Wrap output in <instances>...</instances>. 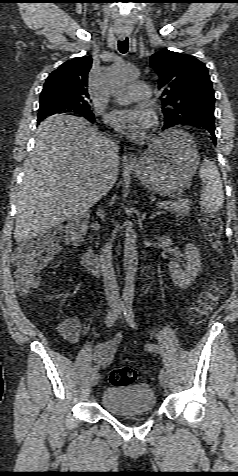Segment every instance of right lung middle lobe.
Returning a JSON list of instances; mask_svg holds the SVG:
<instances>
[{
	"label": "right lung middle lobe",
	"mask_w": 238,
	"mask_h": 476,
	"mask_svg": "<svg viewBox=\"0 0 238 476\" xmlns=\"http://www.w3.org/2000/svg\"><path fill=\"white\" fill-rule=\"evenodd\" d=\"M61 113L82 116L91 122L94 120V114L90 111V106L69 108L56 102L44 101L40 102L38 121L47 116Z\"/></svg>",
	"instance_id": "right-lung-middle-lobe-1"
}]
</instances>
